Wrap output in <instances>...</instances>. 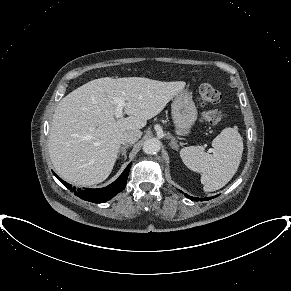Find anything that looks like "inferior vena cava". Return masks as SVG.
Returning <instances> with one entry per match:
<instances>
[{"label":"inferior vena cava","instance_id":"602c4592","mask_svg":"<svg viewBox=\"0 0 291 291\" xmlns=\"http://www.w3.org/2000/svg\"><path fill=\"white\" fill-rule=\"evenodd\" d=\"M142 132L140 130L126 131L121 135L122 144H134L140 139Z\"/></svg>","mask_w":291,"mask_h":291}]
</instances>
